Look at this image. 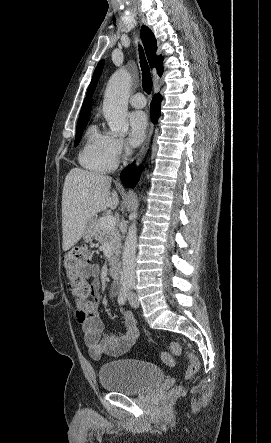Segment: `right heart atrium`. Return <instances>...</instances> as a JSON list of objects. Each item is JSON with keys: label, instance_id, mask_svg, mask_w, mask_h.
Instances as JSON below:
<instances>
[{"label": "right heart atrium", "instance_id": "right-heart-atrium-1", "mask_svg": "<svg viewBox=\"0 0 271 443\" xmlns=\"http://www.w3.org/2000/svg\"><path fill=\"white\" fill-rule=\"evenodd\" d=\"M129 151V146L125 138L110 135L109 153L114 160L121 158Z\"/></svg>", "mask_w": 271, "mask_h": 443}]
</instances>
